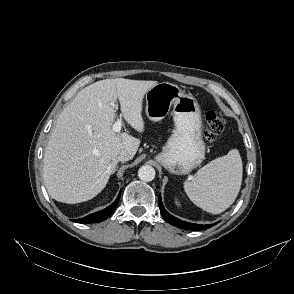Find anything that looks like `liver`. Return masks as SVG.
Masks as SVG:
<instances>
[{"label":"liver","instance_id":"obj_1","mask_svg":"<svg viewBox=\"0 0 294 294\" xmlns=\"http://www.w3.org/2000/svg\"><path fill=\"white\" fill-rule=\"evenodd\" d=\"M157 81L124 78L97 81L82 89L57 118L44 155L43 179L56 201L75 204L99 194L115 169L117 155L132 158L140 140L112 130L113 104L121 105L125 121L144 132L143 98Z\"/></svg>","mask_w":294,"mask_h":294}]
</instances>
